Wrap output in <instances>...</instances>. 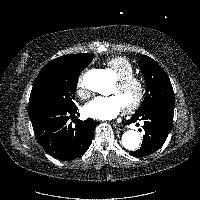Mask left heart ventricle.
Instances as JSON below:
<instances>
[{"label": "left heart ventricle", "instance_id": "left-heart-ventricle-1", "mask_svg": "<svg viewBox=\"0 0 200 200\" xmlns=\"http://www.w3.org/2000/svg\"><path fill=\"white\" fill-rule=\"evenodd\" d=\"M110 94L116 96L124 108L136 99L137 88L136 86H129L124 89H119L116 85H114Z\"/></svg>", "mask_w": 200, "mask_h": 200}]
</instances>
